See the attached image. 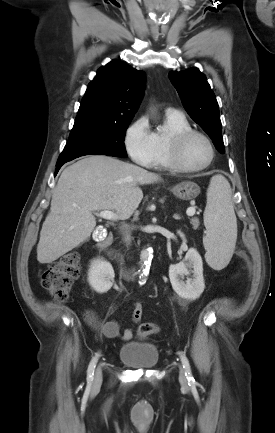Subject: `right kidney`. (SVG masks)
Here are the masks:
<instances>
[{
  "label": "right kidney",
  "mask_w": 275,
  "mask_h": 433,
  "mask_svg": "<svg viewBox=\"0 0 275 433\" xmlns=\"http://www.w3.org/2000/svg\"><path fill=\"white\" fill-rule=\"evenodd\" d=\"M114 277V270L109 262L103 259H96L91 263L88 272V281L96 292L105 293L110 290L113 285Z\"/></svg>",
  "instance_id": "ca27d5eb"
}]
</instances>
